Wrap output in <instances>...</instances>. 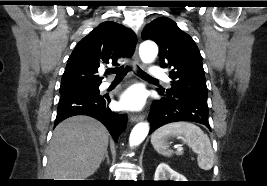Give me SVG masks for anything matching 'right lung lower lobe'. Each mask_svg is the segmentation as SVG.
<instances>
[{
	"label": "right lung lower lobe",
	"mask_w": 267,
	"mask_h": 186,
	"mask_svg": "<svg viewBox=\"0 0 267 186\" xmlns=\"http://www.w3.org/2000/svg\"><path fill=\"white\" fill-rule=\"evenodd\" d=\"M60 94L55 126L68 117L88 115L102 122L115 141L126 128V116L112 112L108 107L109 96L85 89H73Z\"/></svg>",
	"instance_id": "right-lung-lower-lobe-1"
}]
</instances>
